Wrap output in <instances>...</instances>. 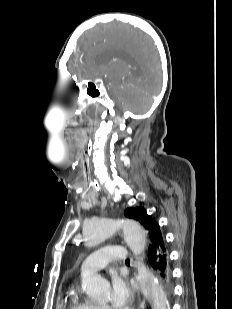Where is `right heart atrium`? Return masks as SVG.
I'll return each mask as SVG.
<instances>
[{"mask_svg": "<svg viewBox=\"0 0 232 309\" xmlns=\"http://www.w3.org/2000/svg\"><path fill=\"white\" fill-rule=\"evenodd\" d=\"M102 309H108L107 307H102Z\"/></svg>", "mask_w": 232, "mask_h": 309, "instance_id": "obj_1", "label": "right heart atrium"}]
</instances>
